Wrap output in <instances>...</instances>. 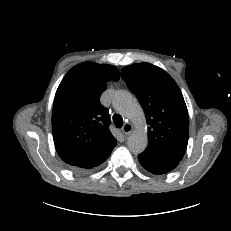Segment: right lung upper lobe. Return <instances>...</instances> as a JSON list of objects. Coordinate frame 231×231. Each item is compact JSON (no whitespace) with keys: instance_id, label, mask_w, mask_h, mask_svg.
I'll use <instances>...</instances> for the list:
<instances>
[{"instance_id":"cb5924a9","label":"right lung upper lobe","mask_w":231,"mask_h":231,"mask_svg":"<svg viewBox=\"0 0 231 231\" xmlns=\"http://www.w3.org/2000/svg\"><path fill=\"white\" fill-rule=\"evenodd\" d=\"M119 78L112 65L83 62L62 79L54 99L52 132L56 151L67 164L96 160L115 147L100 96L109 81Z\"/></svg>"}]
</instances>
